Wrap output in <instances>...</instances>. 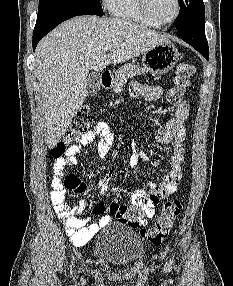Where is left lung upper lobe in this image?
Here are the masks:
<instances>
[{
    "mask_svg": "<svg viewBox=\"0 0 233 286\" xmlns=\"http://www.w3.org/2000/svg\"><path fill=\"white\" fill-rule=\"evenodd\" d=\"M181 14L176 20V28L179 29L192 22L196 18L205 16V8L202 0H178Z\"/></svg>",
    "mask_w": 233,
    "mask_h": 286,
    "instance_id": "5c2ea615",
    "label": "left lung upper lobe"
}]
</instances>
